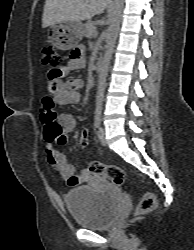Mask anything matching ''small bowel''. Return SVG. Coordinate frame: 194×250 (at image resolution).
Wrapping results in <instances>:
<instances>
[{
	"label": "small bowel",
	"instance_id": "c3829d8e",
	"mask_svg": "<svg viewBox=\"0 0 194 250\" xmlns=\"http://www.w3.org/2000/svg\"><path fill=\"white\" fill-rule=\"evenodd\" d=\"M82 51L83 49L80 48V55L78 57H71L69 63L62 67L60 71L65 73L83 68L85 61ZM83 86L84 83L80 79H71L67 82H63L50 76L47 82V89L50 93L49 97L52 103L60 105L77 103L80 100V90ZM41 119L44 124V151L48 163L59 173L61 178H63L70 187H75L88 181L91 177L90 172L85 169L80 174H75L74 165L54 146L55 141L64 143L66 141V135L74 130L76 126L74 116L70 113L57 114L52 108H44ZM80 139H85L89 142L86 133H82Z\"/></svg>",
	"mask_w": 194,
	"mask_h": 250
}]
</instances>
